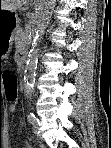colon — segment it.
Returning <instances> with one entry per match:
<instances>
[{
    "instance_id": "colon-1",
    "label": "colon",
    "mask_w": 111,
    "mask_h": 148,
    "mask_svg": "<svg viewBox=\"0 0 111 148\" xmlns=\"http://www.w3.org/2000/svg\"><path fill=\"white\" fill-rule=\"evenodd\" d=\"M0 82L4 87L5 98L9 101H16L18 98L19 81L11 71H0Z\"/></svg>"
}]
</instances>
